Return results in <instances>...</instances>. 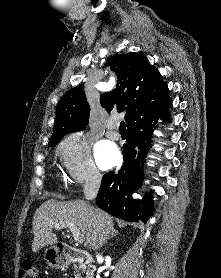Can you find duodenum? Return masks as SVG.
Returning <instances> with one entry per match:
<instances>
[{
	"label": "duodenum",
	"instance_id": "410a0bca",
	"mask_svg": "<svg viewBox=\"0 0 221 278\" xmlns=\"http://www.w3.org/2000/svg\"><path fill=\"white\" fill-rule=\"evenodd\" d=\"M57 251L59 256L64 259L66 263L79 262L85 264L88 262L85 253L81 249L66 244H59L57 246Z\"/></svg>",
	"mask_w": 221,
	"mask_h": 278
}]
</instances>
